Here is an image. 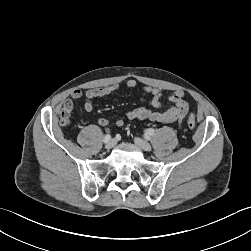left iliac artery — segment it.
I'll use <instances>...</instances> for the list:
<instances>
[{"label": "left iliac artery", "instance_id": "1", "mask_svg": "<svg viewBox=\"0 0 251 251\" xmlns=\"http://www.w3.org/2000/svg\"><path fill=\"white\" fill-rule=\"evenodd\" d=\"M154 132H155V130L153 128H149L145 131V136L150 137V136L154 135Z\"/></svg>", "mask_w": 251, "mask_h": 251}]
</instances>
